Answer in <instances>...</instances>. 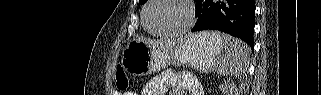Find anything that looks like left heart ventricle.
I'll return each instance as SVG.
<instances>
[{
  "label": "left heart ventricle",
  "mask_w": 321,
  "mask_h": 95,
  "mask_svg": "<svg viewBox=\"0 0 321 95\" xmlns=\"http://www.w3.org/2000/svg\"><path fill=\"white\" fill-rule=\"evenodd\" d=\"M187 19V8L179 0H158L147 13V24L156 32L181 29Z\"/></svg>",
  "instance_id": "b2bd125f"
}]
</instances>
